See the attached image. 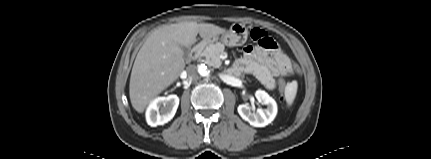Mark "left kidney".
Here are the masks:
<instances>
[{
	"mask_svg": "<svg viewBox=\"0 0 431 159\" xmlns=\"http://www.w3.org/2000/svg\"><path fill=\"white\" fill-rule=\"evenodd\" d=\"M255 97L258 102L266 105V109H257L256 112H251L250 107L247 104L239 105L237 110L243 120L247 121L254 127H264L271 123L277 114V104L275 100L263 90H257Z\"/></svg>",
	"mask_w": 431,
	"mask_h": 159,
	"instance_id": "left-kidney-1",
	"label": "left kidney"
}]
</instances>
